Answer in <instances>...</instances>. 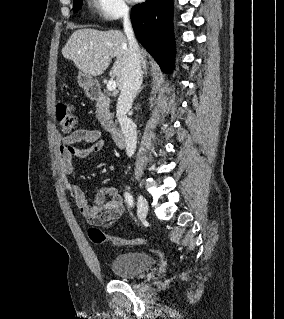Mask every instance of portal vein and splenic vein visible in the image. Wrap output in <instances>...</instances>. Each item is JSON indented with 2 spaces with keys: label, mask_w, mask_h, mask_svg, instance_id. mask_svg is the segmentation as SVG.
I'll return each instance as SVG.
<instances>
[{
  "label": "portal vein and splenic vein",
  "mask_w": 284,
  "mask_h": 319,
  "mask_svg": "<svg viewBox=\"0 0 284 319\" xmlns=\"http://www.w3.org/2000/svg\"><path fill=\"white\" fill-rule=\"evenodd\" d=\"M116 88H117L116 81H114L113 79L109 80L108 83H107V89L109 91H114V90H116Z\"/></svg>",
  "instance_id": "18ae733b"
}]
</instances>
